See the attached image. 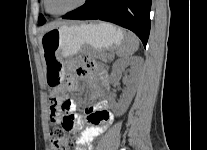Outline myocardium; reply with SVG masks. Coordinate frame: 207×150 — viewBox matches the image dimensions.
Instances as JSON below:
<instances>
[{"label":"myocardium","instance_id":"f54148a6","mask_svg":"<svg viewBox=\"0 0 207 150\" xmlns=\"http://www.w3.org/2000/svg\"><path fill=\"white\" fill-rule=\"evenodd\" d=\"M88 0H80L75 6L65 10V11H62V12H53L49 9V6H48V0H43L44 2V8L45 10L49 13V14H52V15H55V16H61V15H65V14H68L72 11H75L77 9H79L80 7H82Z\"/></svg>","mask_w":207,"mask_h":150}]
</instances>
